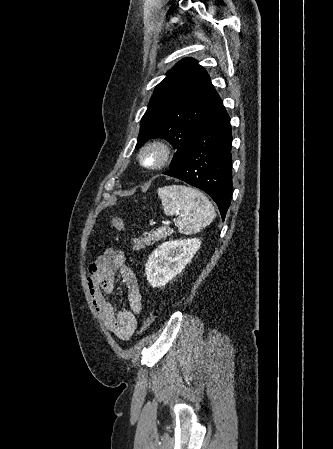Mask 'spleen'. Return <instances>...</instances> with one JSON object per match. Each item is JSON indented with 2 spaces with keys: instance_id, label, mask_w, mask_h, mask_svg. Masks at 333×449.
<instances>
[{
  "instance_id": "spleen-1",
  "label": "spleen",
  "mask_w": 333,
  "mask_h": 449,
  "mask_svg": "<svg viewBox=\"0 0 333 449\" xmlns=\"http://www.w3.org/2000/svg\"><path fill=\"white\" fill-rule=\"evenodd\" d=\"M166 215H179L175 225L179 233L193 234L207 227L216 213L207 196L192 187L170 185L157 190Z\"/></svg>"
}]
</instances>
